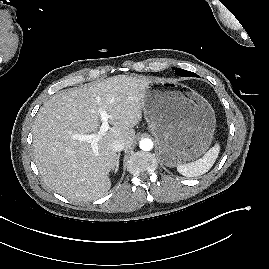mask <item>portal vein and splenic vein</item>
<instances>
[{"instance_id":"obj_1","label":"portal vein and splenic vein","mask_w":269,"mask_h":269,"mask_svg":"<svg viewBox=\"0 0 269 269\" xmlns=\"http://www.w3.org/2000/svg\"><path fill=\"white\" fill-rule=\"evenodd\" d=\"M100 117H101V127L99 129V132L97 134H76L74 135V138L79 141H85L91 144L92 150L95 154V156H98V141L105 135V133L108 131L109 127V118L110 116L105 110H100Z\"/></svg>"}]
</instances>
